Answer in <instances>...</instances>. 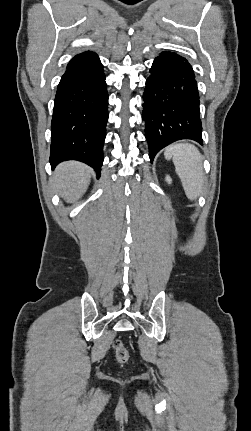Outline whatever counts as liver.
I'll use <instances>...</instances> for the list:
<instances>
[{"label":"liver","mask_w":251,"mask_h":431,"mask_svg":"<svg viewBox=\"0 0 251 431\" xmlns=\"http://www.w3.org/2000/svg\"><path fill=\"white\" fill-rule=\"evenodd\" d=\"M92 169L78 161H66L57 166L53 175L56 191L68 203L85 194L91 180Z\"/></svg>","instance_id":"6515ba94"}]
</instances>
